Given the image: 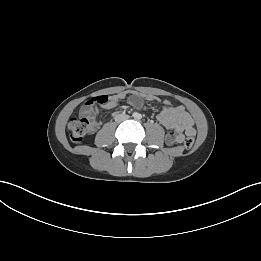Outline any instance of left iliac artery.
<instances>
[{"label": "left iliac artery", "instance_id": "left-iliac-artery-1", "mask_svg": "<svg viewBox=\"0 0 261 261\" xmlns=\"http://www.w3.org/2000/svg\"><path fill=\"white\" fill-rule=\"evenodd\" d=\"M138 119H141V115L138 116Z\"/></svg>", "mask_w": 261, "mask_h": 261}]
</instances>
